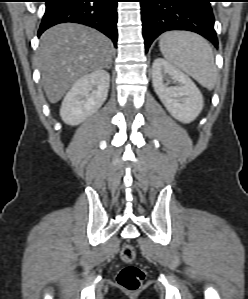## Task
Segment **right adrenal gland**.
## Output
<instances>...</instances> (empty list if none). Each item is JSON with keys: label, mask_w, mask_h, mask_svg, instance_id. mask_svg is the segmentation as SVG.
Instances as JSON below:
<instances>
[{"label": "right adrenal gland", "mask_w": 248, "mask_h": 299, "mask_svg": "<svg viewBox=\"0 0 248 299\" xmlns=\"http://www.w3.org/2000/svg\"><path fill=\"white\" fill-rule=\"evenodd\" d=\"M110 67H111V63L109 64V66L107 68L110 69Z\"/></svg>", "instance_id": "obj_1"}]
</instances>
